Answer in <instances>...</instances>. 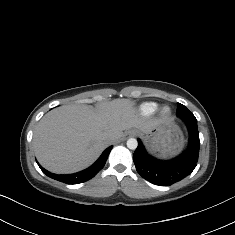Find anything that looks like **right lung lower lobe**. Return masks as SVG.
I'll list each match as a JSON object with an SVG mask.
<instances>
[{"label":"right lung lower lobe","instance_id":"obj_1","mask_svg":"<svg viewBox=\"0 0 235 235\" xmlns=\"http://www.w3.org/2000/svg\"><path fill=\"white\" fill-rule=\"evenodd\" d=\"M111 149H112V146L108 147L92 166H90L89 168L81 172L74 173V174L58 175V174L51 173L47 171L46 169H44L39 164L38 165L41 168V170L52 179L61 181L66 184H79V183L86 182L90 180L91 178H93L104 167Z\"/></svg>","mask_w":235,"mask_h":235}]
</instances>
